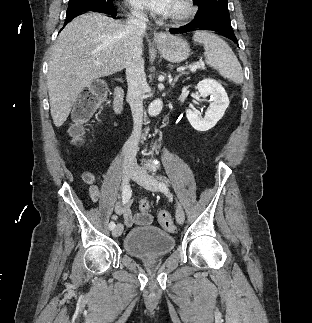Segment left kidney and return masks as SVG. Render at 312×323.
Segmentation results:
<instances>
[{"label":"left kidney","instance_id":"obj_1","mask_svg":"<svg viewBox=\"0 0 312 323\" xmlns=\"http://www.w3.org/2000/svg\"><path fill=\"white\" fill-rule=\"evenodd\" d=\"M197 90H199L202 98L211 96L212 102H210L209 110L205 112L204 118H200L198 112H195L193 106H191L192 110H187L186 118L194 130L207 132L223 118L225 110L229 106V98L219 82L211 80V78L199 82Z\"/></svg>","mask_w":312,"mask_h":323}]
</instances>
